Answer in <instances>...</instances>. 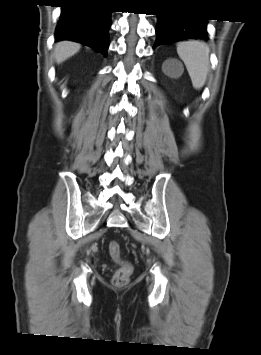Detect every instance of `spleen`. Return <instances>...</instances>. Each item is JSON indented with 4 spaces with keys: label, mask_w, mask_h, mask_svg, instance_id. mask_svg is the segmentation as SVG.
I'll return each mask as SVG.
<instances>
[{
    "label": "spleen",
    "mask_w": 261,
    "mask_h": 355,
    "mask_svg": "<svg viewBox=\"0 0 261 355\" xmlns=\"http://www.w3.org/2000/svg\"><path fill=\"white\" fill-rule=\"evenodd\" d=\"M177 53L187 68L193 87L201 89L210 68L208 45L200 41L181 42L177 46Z\"/></svg>",
    "instance_id": "3e777b00"
}]
</instances>
